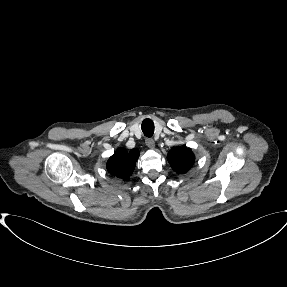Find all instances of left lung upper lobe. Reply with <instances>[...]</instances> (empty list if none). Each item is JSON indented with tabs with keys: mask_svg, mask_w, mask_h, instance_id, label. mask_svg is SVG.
<instances>
[{
	"mask_svg": "<svg viewBox=\"0 0 287 287\" xmlns=\"http://www.w3.org/2000/svg\"><path fill=\"white\" fill-rule=\"evenodd\" d=\"M167 159L173 170L181 174L192 167L195 156L190 148L176 147L169 151Z\"/></svg>",
	"mask_w": 287,
	"mask_h": 287,
	"instance_id": "1",
	"label": "left lung upper lobe"
}]
</instances>
